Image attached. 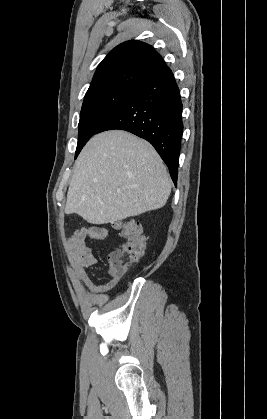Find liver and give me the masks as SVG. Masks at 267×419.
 <instances>
[{"mask_svg":"<svg viewBox=\"0 0 267 419\" xmlns=\"http://www.w3.org/2000/svg\"><path fill=\"white\" fill-rule=\"evenodd\" d=\"M170 192L166 166L152 145L110 130L93 136L76 160L65 213L105 224L162 208Z\"/></svg>","mask_w":267,"mask_h":419,"instance_id":"1","label":"liver"}]
</instances>
